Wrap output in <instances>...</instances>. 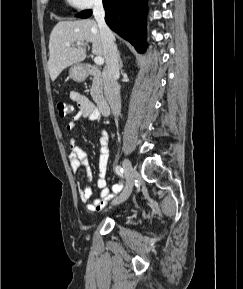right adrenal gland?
<instances>
[{
	"label": "right adrenal gland",
	"instance_id": "right-adrenal-gland-1",
	"mask_svg": "<svg viewBox=\"0 0 243 289\" xmlns=\"http://www.w3.org/2000/svg\"><path fill=\"white\" fill-rule=\"evenodd\" d=\"M118 58H119V62H120V67L122 68L123 67V61L122 59L120 58V53L118 51Z\"/></svg>",
	"mask_w": 243,
	"mask_h": 289
}]
</instances>
